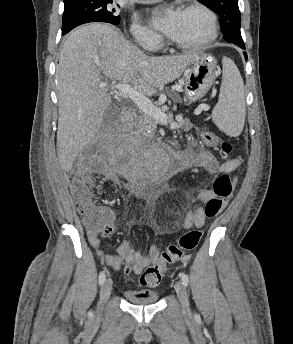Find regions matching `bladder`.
<instances>
[{
  "instance_id": "bladder-1",
  "label": "bladder",
  "mask_w": 293,
  "mask_h": 344,
  "mask_svg": "<svg viewBox=\"0 0 293 344\" xmlns=\"http://www.w3.org/2000/svg\"><path fill=\"white\" fill-rule=\"evenodd\" d=\"M123 294L130 303L142 306L155 304L159 298L157 292L145 290H125Z\"/></svg>"
}]
</instances>
